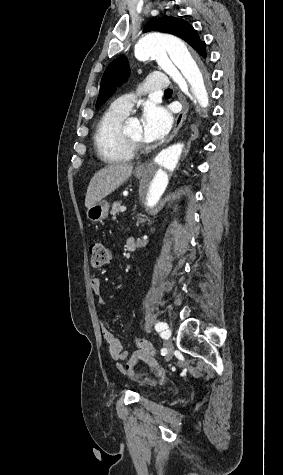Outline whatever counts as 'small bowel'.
I'll return each instance as SVG.
<instances>
[{"label":"small bowel","instance_id":"obj_1","mask_svg":"<svg viewBox=\"0 0 283 475\" xmlns=\"http://www.w3.org/2000/svg\"><path fill=\"white\" fill-rule=\"evenodd\" d=\"M90 286L96 295H100L102 284L99 277H92L90 280ZM105 303V299L100 297L99 304L103 305ZM101 333L109 344V353L111 358L117 363L126 361V364L122 367V371L133 377L135 375V368L139 362H128L127 355L129 351L124 348L122 341L111 331L106 318L101 320ZM152 371L157 378L164 379L166 377V373L162 367L160 369H152Z\"/></svg>","mask_w":283,"mask_h":475}]
</instances>
